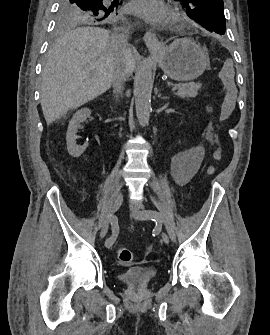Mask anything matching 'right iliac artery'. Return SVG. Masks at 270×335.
<instances>
[{"mask_svg": "<svg viewBox=\"0 0 270 335\" xmlns=\"http://www.w3.org/2000/svg\"><path fill=\"white\" fill-rule=\"evenodd\" d=\"M109 217L111 218V222L110 223H111L112 234L105 241V246L107 248H110L114 244V242H115V240H116V238L118 236V233H119V225H118L117 217L116 216H112V215H110Z\"/></svg>", "mask_w": 270, "mask_h": 335, "instance_id": "obj_1", "label": "right iliac artery"}]
</instances>
